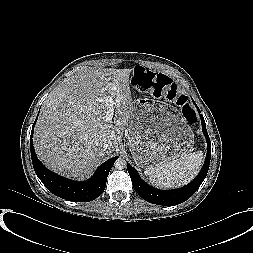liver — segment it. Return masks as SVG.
<instances>
[{
  "instance_id": "obj_1",
  "label": "liver",
  "mask_w": 253,
  "mask_h": 253,
  "mask_svg": "<svg viewBox=\"0 0 253 253\" xmlns=\"http://www.w3.org/2000/svg\"><path fill=\"white\" fill-rule=\"evenodd\" d=\"M131 72L83 68L50 93L34 129L36 154L49 169L85 179L117 150L132 106ZM109 97L114 101V125L104 120ZM105 142L110 147L104 151Z\"/></svg>"
}]
</instances>
